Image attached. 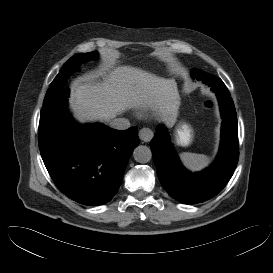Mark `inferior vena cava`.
Instances as JSON below:
<instances>
[{
    "label": "inferior vena cava",
    "mask_w": 273,
    "mask_h": 273,
    "mask_svg": "<svg viewBox=\"0 0 273 273\" xmlns=\"http://www.w3.org/2000/svg\"><path fill=\"white\" fill-rule=\"evenodd\" d=\"M110 126L114 129L125 130L130 127V122L126 118H116L111 121Z\"/></svg>",
    "instance_id": "602c4592"
}]
</instances>
